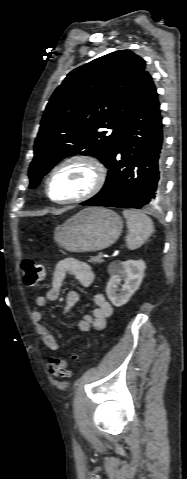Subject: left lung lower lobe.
Segmentation results:
<instances>
[{"label":"left lung lower lobe","mask_w":187,"mask_h":479,"mask_svg":"<svg viewBox=\"0 0 187 479\" xmlns=\"http://www.w3.org/2000/svg\"><path fill=\"white\" fill-rule=\"evenodd\" d=\"M160 104L150 75L124 123L106 183L85 206L142 208L163 194L164 142Z\"/></svg>","instance_id":"left-lung-lower-lobe-1"}]
</instances>
